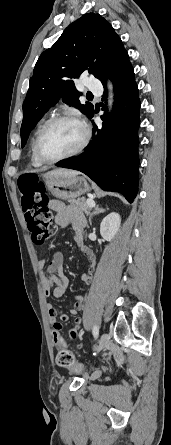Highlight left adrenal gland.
I'll return each mask as SVG.
<instances>
[{"instance_id": "obj_1", "label": "left adrenal gland", "mask_w": 171, "mask_h": 445, "mask_svg": "<svg viewBox=\"0 0 171 445\" xmlns=\"http://www.w3.org/2000/svg\"><path fill=\"white\" fill-rule=\"evenodd\" d=\"M105 212L104 209L100 208L99 205L95 206L93 212L89 216V223L92 224L91 219L94 215Z\"/></svg>"}]
</instances>
